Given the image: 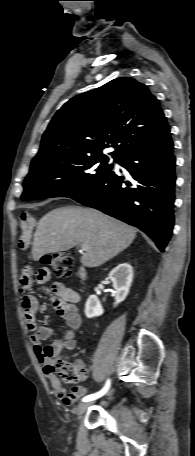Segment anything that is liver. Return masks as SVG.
I'll return each mask as SVG.
<instances>
[{
	"label": "liver",
	"instance_id": "liver-1",
	"mask_svg": "<svg viewBox=\"0 0 195 456\" xmlns=\"http://www.w3.org/2000/svg\"><path fill=\"white\" fill-rule=\"evenodd\" d=\"M136 229L98 210L82 207L57 208L44 215L34 234L35 261L49 253L86 248L81 263L98 267L125 250L136 237Z\"/></svg>",
	"mask_w": 195,
	"mask_h": 456
}]
</instances>
